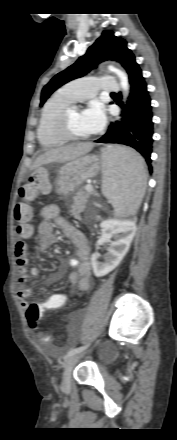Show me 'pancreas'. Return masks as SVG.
I'll use <instances>...</instances> for the list:
<instances>
[{"label":"pancreas","instance_id":"cf45deb5","mask_svg":"<svg viewBox=\"0 0 177 440\" xmlns=\"http://www.w3.org/2000/svg\"><path fill=\"white\" fill-rule=\"evenodd\" d=\"M86 187H85V190H86ZM92 194H93L92 191L89 192L87 190L86 191L80 190L77 193V196L74 198L73 203L71 205V210H70L71 216H73L75 219H78V220L81 219L80 214L84 211L87 200L90 197V195H92Z\"/></svg>","mask_w":177,"mask_h":440}]
</instances>
